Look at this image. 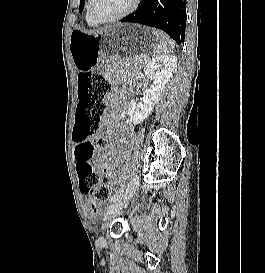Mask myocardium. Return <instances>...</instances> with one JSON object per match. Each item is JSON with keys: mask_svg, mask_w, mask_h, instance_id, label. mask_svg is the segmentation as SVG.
Masks as SVG:
<instances>
[{"mask_svg": "<svg viewBox=\"0 0 265 273\" xmlns=\"http://www.w3.org/2000/svg\"><path fill=\"white\" fill-rule=\"evenodd\" d=\"M139 2H140V0H133L131 6L126 11L120 13L117 16H114L111 18H106V19L98 18L93 14L92 8H93L94 0H88L86 10H87V13H88V16L90 17V19L93 20L97 24L114 23V22L122 20V19L128 17L130 14H132L136 10V8L138 7Z\"/></svg>", "mask_w": 265, "mask_h": 273, "instance_id": "f54148a6", "label": "myocardium"}]
</instances>
